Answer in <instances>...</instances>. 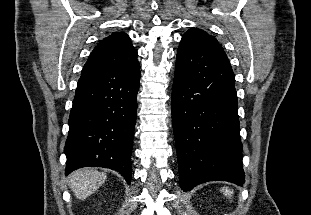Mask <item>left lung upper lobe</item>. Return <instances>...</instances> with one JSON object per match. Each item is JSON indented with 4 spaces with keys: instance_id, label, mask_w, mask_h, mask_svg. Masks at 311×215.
I'll return each mask as SVG.
<instances>
[{
    "instance_id": "5c2ea615",
    "label": "left lung upper lobe",
    "mask_w": 311,
    "mask_h": 215,
    "mask_svg": "<svg viewBox=\"0 0 311 215\" xmlns=\"http://www.w3.org/2000/svg\"><path fill=\"white\" fill-rule=\"evenodd\" d=\"M184 36H189V37H204L207 38L209 40H211L212 42L216 43L218 46H220L222 48V46L219 44V42L212 37L211 35H208L205 31L199 29V28H191L189 29Z\"/></svg>"
}]
</instances>
